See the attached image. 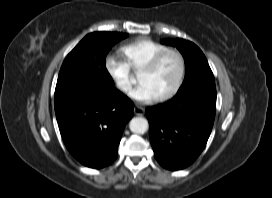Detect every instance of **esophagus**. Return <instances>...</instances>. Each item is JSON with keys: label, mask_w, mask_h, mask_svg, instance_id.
Here are the masks:
<instances>
[{"label": "esophagus", "mask_w": 272, "mask_h": 198, "mask_svg": "<svg viewBox=\"0 0 272 198\" xmlns=\"http://www.w3.org/2000/svg\"><path fill=\"white\" fill-rule=\"evenodd\" d=\"M133 111H134V114L137 116H143L145 113V109L139 106H135Z\"/></svg>", "instance_id": "34e87169"}]
</instances>
